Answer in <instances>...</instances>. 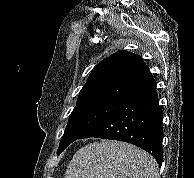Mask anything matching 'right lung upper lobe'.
I'll use <instances>...</instances> for the list:
<instances>
[{
  "label": "right lung upper lobe",
  "instance_id": "1",
  "mask_svg": "<svg viewBox=\"0 0 194 178\" xmlns=\"http://www.w3.org/2000/svg\"><path fill=\"white\" fill-rule=\"evenodd\" d=\"M153 91H156V81L142 57L122 50L92 69L78 101L100 98L125 103Z\"/></svg>",
  "mask_w": 194,
  "mask_h": 178
}]
</instances>
